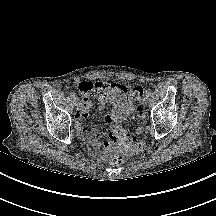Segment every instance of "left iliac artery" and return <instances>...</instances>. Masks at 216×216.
<instances>
[{"mask_svg":"<svg viewBox=\"0 0 216 216\" xmlns=\"http://www.w3.org/2000/svg\"><path fill=\"white\" fill-rule=\"evenodd\" d=\"M151 95L150 91H146V96L149 97Z\"/></svg>","mask_w":216,"mask_h":216,"instance_id":"1","label":"left iliac artery"}]
</instances>
